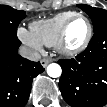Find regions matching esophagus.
<instances>
[{"label": "esophagus", "instance_id": "1", "mask_svg": "<svg viewBox=\"0 0 107 107\" xmlns=\"http://www.w3.org/2000/svg\"><path fill=\"white\" fill-rule=\"evenodd\" d=\"M50 62H52V59L44 58V59L41 60V65L43 67H46Z\"/></svg>", "mask_w": 107, "mask_h": 107}]
</instances>
